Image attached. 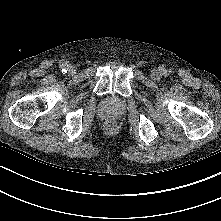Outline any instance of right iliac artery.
Listing matches in <instances>:
<instances>
[{"instance_id": "1", "label": "right iliac artery", "mask_w": 221, "mask_h": 221, "mask_svg": "<svg viewBox=\"0 0 221 221\" xmlns=\"http://www.w3.org/2000/svg\"><path fill=\"white\" fill-rule=\"evenodd\" d=\"M61 69H62L63 72H66L67 69H68V65H67V63H63V64H61Z\"/></svg>"}]
</instances>
